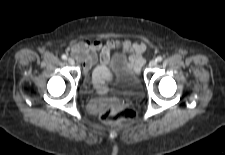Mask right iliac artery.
Masks as SVG:
<instances>
[{"label": "right iliac artery", "instance_id": "right-iliac-artery-1", "mask_svg": "<svg viewBox=\"0 0 225 155\" xmlns=\"http://www.w3.org/2000/svg\"><path fill=\"white\" fill-rule=\"evenodd\" d=\"M62 59H63V60H67V55H65V54L62 55Z\"/></svg>", "mask_w": 225, "mask_h": 155}]
</instances>
